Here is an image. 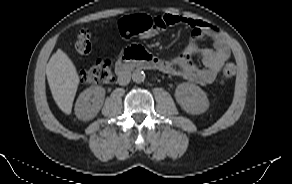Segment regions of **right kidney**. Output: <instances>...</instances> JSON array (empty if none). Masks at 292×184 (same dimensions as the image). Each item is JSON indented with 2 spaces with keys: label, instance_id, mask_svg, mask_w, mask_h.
<instances>
[{
  "label": "right kidney",
  "instance_id": "right-kidney-1",
  "mask_svg": "<svg viewBox=\"0 0 292 184\" xmlns=\"http://www.w3.org/2000/svg\"><path fill=\"white\" fill-rule=\"evenodd\" d=\"M105 98V89L94 86L84 90L75 104V114L81 120H90L100 111Z\"/></svg>",
  "mask_w": 292,
  "mask_h": 184
}]
</instances>
